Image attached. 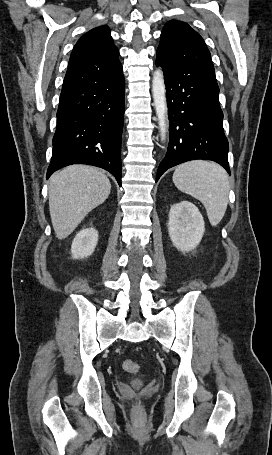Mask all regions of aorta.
I'll return each instance as SVG.
<instances>
[{
  "instance_id": "1",
  "label": "aorta",
  "mask_w": 272,
  "mask_h": 455,
  "mask_svg": "<svg viewBox=\"0 0 272 455\" xmlns=\"http://www.w3.org/2000/svg\"><path fill=\"white\" fill-rule=\"evenodd\" d=\"M152 93L161 141H165L167 133V102L163 73L160 69L155 70L153 73Z\"/></svg>"
}]
</instances>
